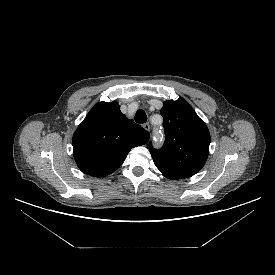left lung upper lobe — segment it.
<instances>
[{
    "instance_id": "left-lung-upper-lobe-1",
    "label": "left lung upper lobe",
    "mask_w": 275,
    "mask_h": 275,
    "mask_svg": "<svg viewBox=\"0 0 275 275\" xmlns=\"http://www.w3.org/2000/svg\"><path fill=\"white\" fill-rule=\"evenodd\" d=\"M165 142L161 149L149 145L156 167L169 179L193 176L204 166L210 145V133L191 105L179 98L164 102Z\"/></svg>"
}]
</instances>
